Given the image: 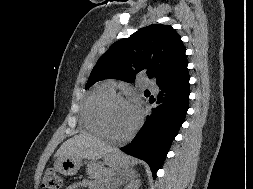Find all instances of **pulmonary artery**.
Returning <instances> with one entry per match:
<instances>
[{
    "mask_svg": "<svg viewBox=\"0 0 253 189\" xmlns=\"http://www.w3.org/2000/svg\"><path fill=\"white\" fill-rule=\"evenodd\" d=\"M112 89H114L115 84L113 82L108 83ZM145 85L149 88H155L156 84L153 80L145 79Z\"/></svg>",
    "mask_w": 253,
    "mask_h": 189,
    "instance_id": "obj_1",
    "label": "pulmonary artery"
}]
</instances>
